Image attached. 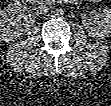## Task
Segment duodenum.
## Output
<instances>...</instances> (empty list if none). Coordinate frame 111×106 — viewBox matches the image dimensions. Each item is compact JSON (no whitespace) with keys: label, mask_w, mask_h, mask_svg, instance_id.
Listing matches in <instances>:
<instances>
[{"label":"duodenum","mask_w":111,"mask_h":106,"mask_svg":"<svg viewBox=\"0 0 111 106\" xmlns=\"http://www.w3.org/2000/svg\"><path fill=\"white\" fill-rule=\"evenodd\" d=\"M66 2H71V0H66Z\"/></svg>","instance_id":"410a0bca"}]
</instances>
